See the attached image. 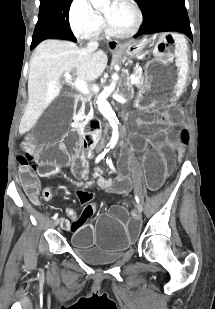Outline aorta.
<instances>
[{"instance_id": "1", "label": "aorta", "mask_w": 215, "mask_h": 309, "mask_svg": "<svg viewBox=\"0 0 215 309\" xmlns=\"http://www.w3.org/2000/svg\"><path fill=\"white\" fill-rule=\"evenodd\" d=\"M90 2L92 6H94V8H97V10H102V8H108L109 4H111V0H90ZM118 78L119 76L117 72H114V74H112L111 84H109V86H106L105 92H101L97 100L100 112H102L103 116H105V118L109 120L110 126H112L113 128L112 136L109 142V146H111V148H113V146H115V144H117L118 142L119 130H118V124L116 122V114L114 110H112V106L111 104H109L106 98L108 94H110V92H113V90H115Z\"/></svg>"}]
</instances>
